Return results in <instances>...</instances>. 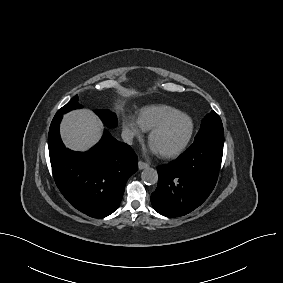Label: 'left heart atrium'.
I'll list each match as a JSON object with an SVG mask.
<instances>
[{"label": "left heart atrium", "instance_id": "left-heart-atrium-1", "mask_svg": "<svg viewBox=\"0 0 283 283\" xmlns=\"http://www.w3.org/2000/svg\"><path fill=\"white\" fill-rule=\"evenodd\" d=\"M149 150L151 153H154V154L159 153L158 150L155 148V146L152 143H150L149 145Z\"/></svg>", "mask_w": 283, "mask_h": 283}]
</instances>
